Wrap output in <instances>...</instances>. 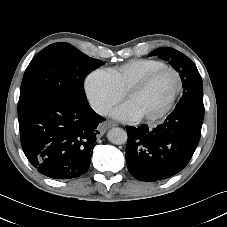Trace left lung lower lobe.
<instances>
[{
    "mask_svg": "<svg viewBox=\"0 0 227 227\" xmlns=\"http://www.w3.org/2000/svg\"><path fill=\"white\" fill-rule=\"evenodd\" d=\"M204 107L175 108L155 129L127 127L126 162L133 177L158 181L180 172L200 140Z\"/></svg>",
    "mask_w": 227,
    "mask_h": 227,
    "instance_id": "0a47b994",
    "label": "left lung lower lobe"
}]
</instances>
